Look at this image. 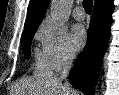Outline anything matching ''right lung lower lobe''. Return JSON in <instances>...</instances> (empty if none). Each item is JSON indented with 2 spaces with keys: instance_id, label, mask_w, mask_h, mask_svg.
I'll list each match as a JSON object with an SVG mask.
<instances>
[{
  "instance_id": "98d812e1",
  "label": "right lung lower lobe",
  "mask_w": 119,
  "mask_h": 95,
  "mask_svg": "<svg viewBox=\"0 0 119 95\" xmlns=\"http://www.w3.org/2000/svg\"><path fill=\"white\" fill-rule=\"evenodd\" d=\"M113 10V0L94 7L86 46L78 56L69 74L71 84L85 95L94 94L102 59L110 38Z\"/></svg>"
}]
</instances>
